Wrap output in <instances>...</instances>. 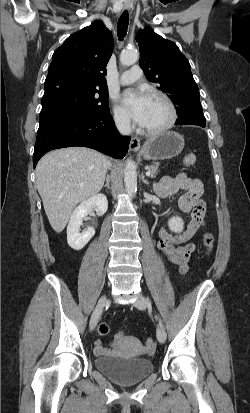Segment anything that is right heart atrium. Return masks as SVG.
Wrapping results in <instances>:
<instances>
[{
	"label": "right heart atrium",
	"instance_id": "right-heart-atrium-1",
	"mask_svg": "<svg viewBox=\"0 0 250 413\" xmlns=\"http://www.w3.org/2000/svg\"><path fill=\"white\" fill-rule=\"evenodd\" d=\"M113 120L117 128L121 131H129L132 127L129 116L117 105L113 106Z\"/></svg>",
	"mask_w": 250,
	"mask_h": 413
}]
</instances>
